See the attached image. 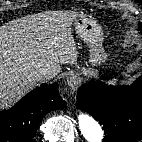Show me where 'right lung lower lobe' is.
Segmentation results:
<instances>
[{"label":"right lung lower lobe","mask_w":142,"mask_h":142,"mask_svg":"<svg viewBox=\"0 0 142 142\" xmlns=\"http://www.w3.org/2000/svg\"><path fill=\"white\" fill-rule=\"evenodd\" d=\"M65 106L57 83L31 91L12 108L0 112V142H36L34 137L44 116Z\"/></svg>","instance_id":"right-lung-lower-lobe-1"}]
</instances>
